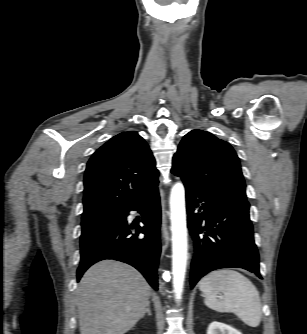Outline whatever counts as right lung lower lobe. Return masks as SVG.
Returning a JSON list of instances; mask_svg holds the SVG:
<instances>
[{
  "label": "right lung lower lobe",
  "instance_id": "1",
  "mask_svg": "<svg viewBox=\"0 0 307 334\" xmlns=\"http://www.w3.org/2000/svg\"><path fill=\"white\" fill-rule=\"evenodd\" d=\"M142 214L144 227L137 228L134 235L127 225L129 211ZM160 198L157 186L146 192L123 211L116 223L100 231L81 244V261L77 270L79 281L83 273L94 263L104 259H114L128 263L138 269L149 284L158 289L157 267L161 252L160 245ZM144 233L145 238H137Z\"/></svg>",
  "mask_w": 307,
  "mask_h": 334
}]
</instances>
